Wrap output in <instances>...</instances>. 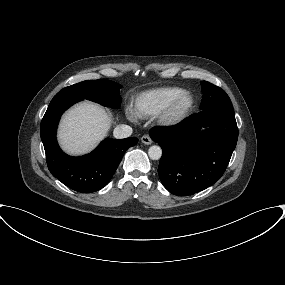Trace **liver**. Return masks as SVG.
Returning <instances> with one entry per match:
<instances>
[{"instance_id": "6515ba94", "label": "liver", "mask_w": 285, "mask_h": 285, "mask_svg": "<svg viewBox=\"0 0 285 285\" xmlns=\"http://www.w3.org/2000/svg\"><path fill=\"white\" fill-rule=\"evenodd\" d=\"M111 115L101 106L82 102L63 117L58 137L62 148L70 154H83L92 150L107 134Z\"/></svg>"}]
</instances>
